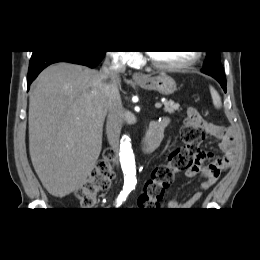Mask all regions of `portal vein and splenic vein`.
Here are the masks:
<instances>
[{"mask_svg":"<svg viewBox=\"0 0 260 260\" xmlns=\"http://www.w3.org/2000/svg\"><path fill=\"white\" fill-rule=\"evenodd\" d=\"M155 107H156V108H161V107H162V104H161V103H156V104H155Z\"/></svg>","mask_w":260,"mask_h":260,"instance_id":"obj_1","label":"portal vein and splenic vein"}]
</instances>
